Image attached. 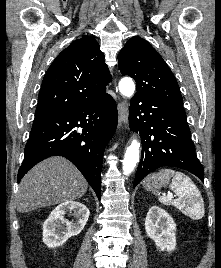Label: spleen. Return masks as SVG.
Wrapping results in <instances>:
<instances>
[{
    "label": "spleen",
    "mask_w": 221,
    "mask_h": 268,
    "mask_svg": "<svg viewBox=\"0 0 221 268\" xmlns=\"http://www.w3.org/2000/svg\"><path fill=\"white\" fill-rule=\"evenodd\" d=\"M160 173L171 175L170 185L177 199L172 196H159V201L164 205H173L192 219H201L204 216V202L200 191L193 181L184 173L171 169H164Z\"/></svg>",
    "instance_id": "spleen-1"
}]
</instances>
